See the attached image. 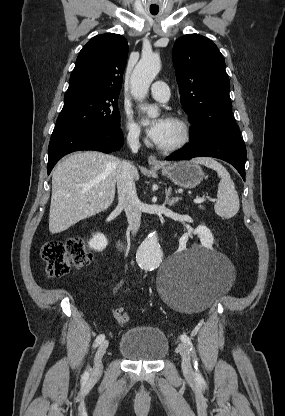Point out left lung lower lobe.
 <instances>
[{
	"label": "left lung lower lobe",
	"instance_id": "obj_1",
	"mask_svg": "<svg viewBox=\"0 0 285 416\" xmlns=\"http://www.w3.org/2000/svg\"><path fill=\"white\" fill-rule=\"evenodd\" d=\"M214 157L232 164L245 180L246 147L236 124L221 125L191 138L188 145L166 160Z\"/></svg>",
	"mask_w": 285,
	"mask_h": 416
}]
</instances>
